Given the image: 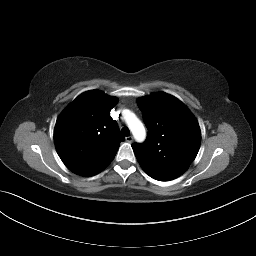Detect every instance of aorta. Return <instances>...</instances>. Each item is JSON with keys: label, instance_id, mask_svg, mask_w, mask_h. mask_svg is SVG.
Segmentation results:
<instances>
[{"label": "aorta", "instance_id": "aorta-1", "mask_svg": "<svg viewBox=\"0 0 256 256\" xmlns=\"http://www.w3.org/2000/svg\"><path fill=\"white\" fill-rule=\"evenodd\" d=\"M126 114L125 121L131 130L134 138L138 142L144 141L146 137V131L142 122L136 117V115L129 110L124 111Z\"/></svg>", "mask_w": 256, "mask_h": 256}]
</instances>
